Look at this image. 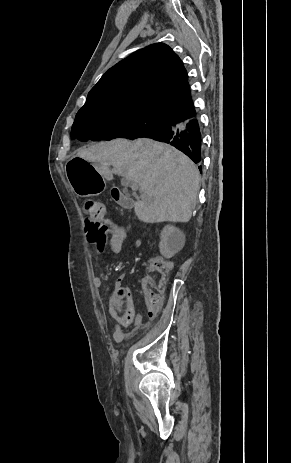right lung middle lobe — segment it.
I'll return each mask as SVG.
<instances>
[{"instance_id":"1","label":"right lung middle lobe","mask_w":291,"mask_h":463,"mask_svg":"<svg viewBox=\"0 0 291 463\" xmlns=\"http://www.w3.org/2000/svg\"><path fill=\"white\" fill-rule=\"evenodd\" d=\"M165 123V118L141 109L83 108L76 114L72 133L77 140H134Z\"/></svg>"}]
</instances>
